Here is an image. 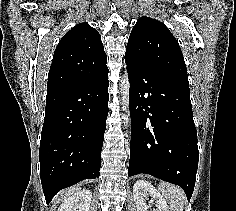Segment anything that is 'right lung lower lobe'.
I'll list each match as a JSON object with an SVG mask.
<instances>
[{"instance_id": "98d812e1", "label": "right lung lower lobe", "mask_w": 236, "mask_h": 211, "mask_svg": "<svg viewBox=\"0 0 236 211\" xmlns=\"http://www.w3.org/2000/svg\"><path fill=\"white\" fill-rule=\"evenodd\" d=\"M108 71L82 84L47 91L40 141L47 204L60 190L99 177L108 114Z\"/></svg>"}]
</instances>
